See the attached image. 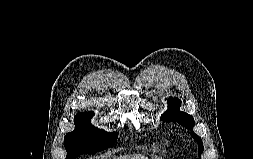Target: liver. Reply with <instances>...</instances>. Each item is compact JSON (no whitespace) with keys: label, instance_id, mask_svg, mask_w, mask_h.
I'll return each instance as SVG.
<instances>
[{"label":"liver","instance_id":"liver-1","mask_svg":"<svg viewBox=\"0 0 253 159\" xmlns=\"http://www.w3.org/2000/svg\"><path fill=\"white\" fill-rule=\"evenodd\" d=\"M115 159H147V158L140 154H135V155L120 156L116 157Z\"/></svg>","mask_w":253,"mask_h":159}]
</instances>
